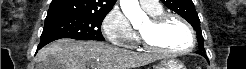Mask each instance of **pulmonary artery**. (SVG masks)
<instances>
[{"label":"pulmonary artery","mask_w":246,"mask_h":69,"mask_svg":"<svg viewBox=\"0 0 246 69\" xmlns=\"http://www.w3.org/2000/svg\"><path fill=\"white\" fill-rule=\"evenodd\" d=\"M140 3L146 11H155L161 8L159 1L156 0H141Z\"/></svg>","instance_id":"1"}]
</instances>
